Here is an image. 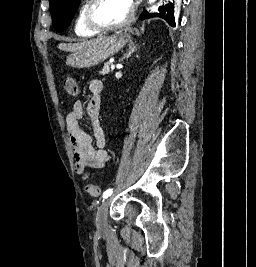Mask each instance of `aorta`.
<instances>
[{
    "label": "aorta",
    "mask_w": 256,
    "mask_h": 267,
    "mask_svg": "<svg viewBox=\"0 0 256 267\" xmlns=\"http://www.w3.org/2000/svg\"><path fill=\"white\" fill-rule=\"evenodd\" d=\"M154 2H156V0H148V4H154Z\"/></svg>",
    "instance_id": "1"
}]
</instances>
